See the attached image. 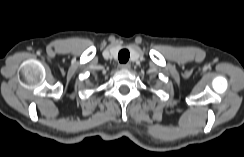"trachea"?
<instances>
[{"instance_id":"obj_1","label":"trachea","mask_w":244,"mask_h":157,"mask_svg":"<svg viewBox=\"0 0 244 157\" xmlns=\"http://www.w3.org/2000/svg\"><path fill=\"white\" fill-rule=\"evenodd\" d=\"M130 53L127 49H122L118 54V59L120 63H126L129 60Z\"/></svg>"}]
</instances>
